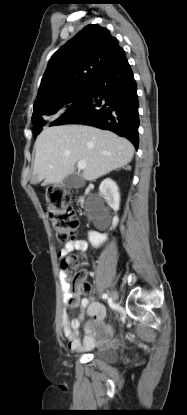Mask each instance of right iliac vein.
<instances>
[{
  "label": "right iliac vein",
  "instance_id": "63e3f726",
  "mask_svg": "<svg viewBox=\"0 0 187 415\" xmlns=\"http://www.w3.org/2000/svg\"><path fill=\"white\" fill-rule=\"evenodd\" d=\"M110 299L116 303L118 301V293L116 291H111L110 292Z\"/></svg>",
  "mask_w": 187,
  "mask_h": 415
}]
</instances>
